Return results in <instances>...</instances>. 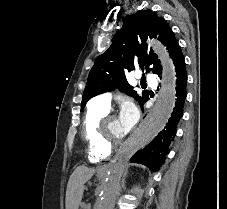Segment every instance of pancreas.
<instances>
[{"mask_svg": "<svg viewBox=\"0 0 227 209\" xmlns=\"http://www.w3.org/2000/svg\"><path fill=\"white\" fill-rule=\"evenodd\" d=\"M81 209H87V208L83 206Z\"/></svg>", "mask_w": 227, "mask_h": 209, "instance_id": "cf45deb5", "label": "pancreas"}]
</instances>
